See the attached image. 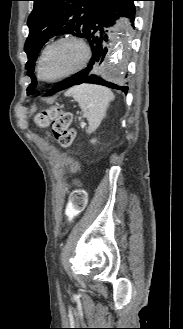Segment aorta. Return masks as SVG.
<instances>
[{"label": "aorta", "instance_id": "1", "mask_svg": "<svg viewBox=\"0 0 183 329\" xmlns=\"http://www.w3.org/2000/svg\"><path fill=\"white\" fill-rule=\"evenodd\" d=\"M122 46V42L118 41L116 44H115V52H114V59L113 60H116L117 58V54L119 53V50H120V47ZM118 75L110 72L109 73V77L110 78H114V77H117Z\"/></svg>", "mask_w": 183, "mask_h": 329}]
</instances>
